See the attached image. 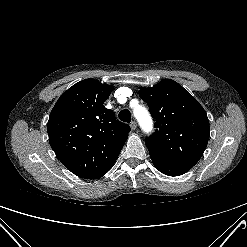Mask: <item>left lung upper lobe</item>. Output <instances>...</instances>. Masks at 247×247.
<instances>
[{
  "mask_svg": "<svg viewBox=\"0 0 247 247\" xmlns=\"http://www.w3.org/2000/svg\"><path fill=\"white\" fill-rule=\"evenodd\" d=\"M139 94L156 120L155 132L145 141L149 153L194 166L205 151L210 135L202 106L171 79L142 88Z\"/></svg>",
  "mask_w": 247,
  "mask_h": 247,
  "instance_id": "1",
  "label": "left lung upper lobe"
}]
</instances>
